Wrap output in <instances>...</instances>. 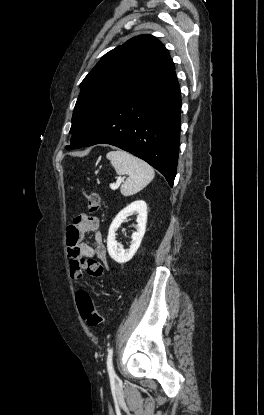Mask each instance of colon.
Listing matches in <instances>:
<instances>
[{
  "label": "colon",
  "instance_id": "obj_1",
  "mask_svg": "<svg viewBox=\"0 0 264 415\" xmlns=\"http://www.w3.org/2000/svg\"><path fill=\"white\" fill-rule=\"evenodd\" d=\"M87 208L90 214H95L101 207L100 196L93 191H87L85 194ZM73 271L76 273H86L91 277H100L103 274V266L94 259H85L82 261H73ZM76 306L82 319L88 326L95 328L102 324L103 319L99 313L94 301L85 290H79L76 294Z\"/></svg>",
  "mask_w": 264,
  "mask_h": 415
}]
</instances>
